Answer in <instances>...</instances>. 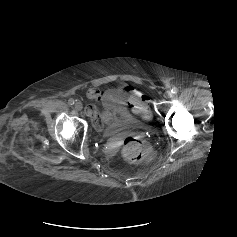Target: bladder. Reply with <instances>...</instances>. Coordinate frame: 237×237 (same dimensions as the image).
I'll use <instances>...</instances> for the list:
<instances>
[{
    "label": "bladder",
    "mask_w": 237,
    "mask_h": 237,
    "mask_svg": "<svg viewBox=\"0 0 237 237\" xmlns=\"http://www.w3.org/2000/svg\"><path fill=\"white\" fill-rule=\"evenodd\" d=\"M133 124L132 120L121 121L113 125L110 129V133H115L121 128L129 127Z\"/></svg>",
    "instance_id": "bladder-1"
}]
</instances>
